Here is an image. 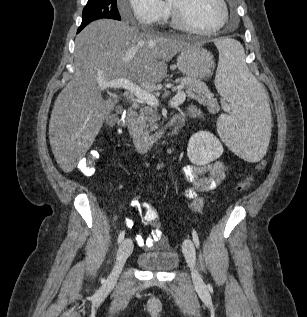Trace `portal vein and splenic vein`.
Wrapping results in <instances>:
<instances>
[{
  "label": "portal vein and splenic vein",
  "instance_id": "portal-vein-and-splenic-vein-1",
  "mask_svg": "<svg viewBox=\"0 0 307 317\" xmlns=\"http://www.w3.org/2000/svg\"><path fill=\"white\" fill-rule=\"evenodd\" d=\"M98 85L101 89L106 88H123L126 89L130 94L134 95L141 101L147 103L150 106L157 107L159 105V100L148 90L136 85L127 79H118L112 81H98ZM186 99V94L183 91H179L169 102L171 107H178Z\"/></svg>",
  "mask_w": 307,
  "mask_h": 317
}]
</instances>
